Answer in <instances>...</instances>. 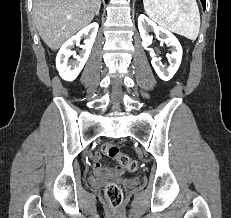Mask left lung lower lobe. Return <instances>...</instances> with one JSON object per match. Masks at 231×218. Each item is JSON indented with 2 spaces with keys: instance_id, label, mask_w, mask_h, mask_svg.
Here are the masks:
<instances>
[{
  "instance_id": "left-lung-lower-lobe-1",
  "label": "left lung lower lobe",
  "mask_w": 231,
  "mask_h": 218,
  "mask_svg": "<svg viewBox=\"0 0 231 218\" xmlns=\"http://www.w3.org/2000/svg\"><path fill=\"white\" fill-rule=\"evenodd\" d=\"M201 2H202V5H203V8H204V10H205V7H206V0H201Z\"/></svg>"
}]
</instances>
